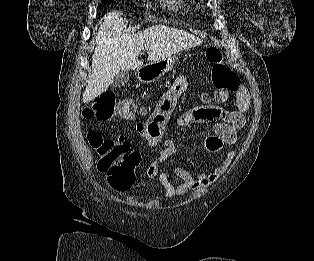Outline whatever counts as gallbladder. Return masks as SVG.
<instances>
[{"label":"gallbladder","instance_id":"1","mask_svg":"<svg viewBox=\"0 0 314 261\" xmlns=\"http://www.w3.org/2000/svg\"><path fill=\"white\" fill-rule=\"evenodd\" d=\"M129 81V71L122 70L120 71L112 81L113 87H122Z\"/></svg>","mask_w":314,"mask_h":261}]
</instances>
